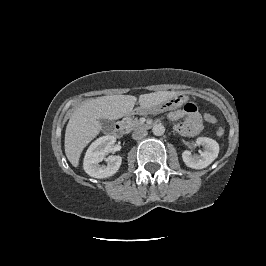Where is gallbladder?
<instances>
[{"mask_svg": "<svg viewBox=\"0 0 266 266\" xmlns=\"http://www.w3.org/2000/svg\"><path fill=\"white\" fill-rule=\"evenodd\" d=\"M101 126L105 131H111L114 128V123L112 120L109 119H100Z\"/></svg>", "mask_w": 266, "mask_h": 266, "instance_id": "gallbladder-1", "label": "gallbladder"}]
</instances>
